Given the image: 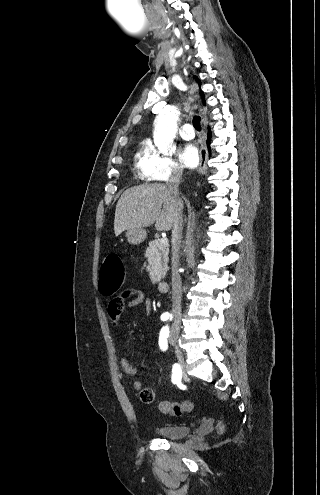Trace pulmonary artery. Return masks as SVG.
<instances>
[{
  "mask_svg": "<svg viewBox=\"0 0 320 495\" xmlns=\"http://www.w3.org/2000/svg\"><path fill=\"white\" fill-rule=\"evenodd\" d=\"M180 136L185 139V140H190L193 139L195 134H194V129L191 124L185 123L181 126L180 128Z\"/></svg>",
  "mask_w": 320,
  "mask_h": 495,
  "instance_id": "e3ab8cb5",
  "label": "pulmonary artery"
}]
</instances>
